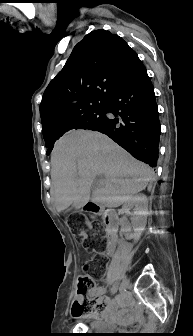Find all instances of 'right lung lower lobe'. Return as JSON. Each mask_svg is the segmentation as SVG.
I'll return each instance as SVG.
<instances>
[{
	"mask_svg": "<svg viewBox=\"0 0 193 336\" xmlns=\"http://www.w3.org/2000/svg\"><path fill=\"white\" fill-rule=\"evenodd\" d=\"M105 110L115 118H108L97 131L109 136L135 158L155 167L161 128L154 89L141 61L120 82Z\"/></svg>",
	"mask_w": 193,
	"mask_h": 336,
	"instance_id": "obj_1",
	"label": "right lung lower lobe"
}]
</instances>
